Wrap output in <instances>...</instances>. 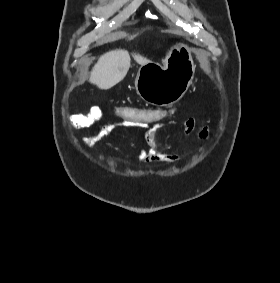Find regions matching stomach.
<instances>
[{
    "label": "stomach",
    "instance_id": "obj_1",
    "mask_svg": "<svg viewBox=\"0 0 280 283\" xmlns=\"http://www.w3.org/2000/svg\"><path fill=\"white\" fill-rule=\"evenodd\" d=\"M194 73L195 65L190 48L184 43H176L166 53L163 64L148 62L141 65L135 79V88L145 102L170 106L186 93Z\"/></svg>",
    "mask_w": 280,
    "mask_h": 283
}]
</instances>
